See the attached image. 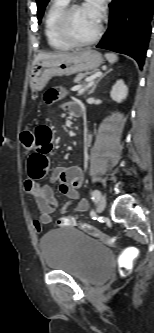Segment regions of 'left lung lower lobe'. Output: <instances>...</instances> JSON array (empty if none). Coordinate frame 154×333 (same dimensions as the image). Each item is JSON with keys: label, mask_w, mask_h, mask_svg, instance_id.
<instances>
[{"label": "left lung lower lobe", "mask_w": 154, "mask_h": 333, "mask_svg": "<svg viewBox=\"0 0 154 333\" xmlns=\"http://www.w3.org/2000/svg\"><path fill=\"white\" fill-rule=\"evenodd\" d=\"M109 27L98 48L134 58L142 69L151 35L154 0H112Z\"/></svg>", "instance_id": "1"}]
</instances>
